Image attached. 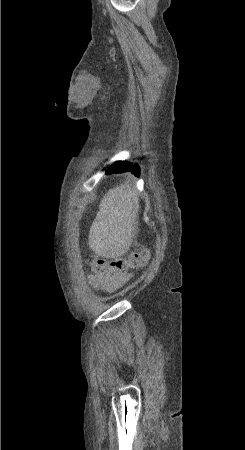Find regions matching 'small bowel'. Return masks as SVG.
I'll use <instances>...</instances> for the list:
<instances>
[{"mask_svg":"<svg viewBox=\"0 0 245 450\" xmlns=\"http://www.w3.org/2000/svg\"><path fill=\"white\" fill-rule=\"evenodd\" d=\"M131 275L122 273L118 274L114 271L108 270L103 274H89L88 278L95 286L106 289L114 290L125 284Z\"/></svg>","mask_w":245,"mask_h":450,"instance_id":"c3829d8e","label":"small bowel"}]
</instances>
